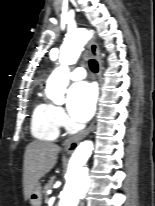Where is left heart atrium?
<instances>
[{
    "instance_id": "39dd6f15",
    "label": "left heart atrium",
    "mask_w": 155,
    "mask_h": 206,
    "mask_svg": "<svg viewBox=\"0 0 155 206\" xmlns=\"http://www.w3.org/2000/svg\"><path fill=\"white\" fill-rule=\"evenodd\" d=\"M96 103L95 86L88 82L73 84L67 96L69 114L77 121H87L93 114Z\"/></svg>"
}]
</instances>
